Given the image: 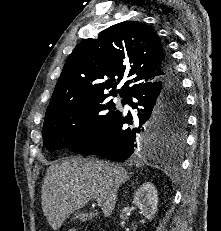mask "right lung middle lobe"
Returning <instances> with one entry per match:
<instances>
[{
    "instance_id": "dd1d6c3e",
    "label": "right lung middle lobe",
    "mask_w": 221,
    "mask_h": 231,
    "mask_svg": "<svg viewBox=\"0 0 221 231\" xmlns=\"http://www.w3.org/2000/svg\"><path fill=\"white\" fill-rule=\"evenodd\" d=\"M106 98L107 95L74 99L45 118L42 131L45 147L51 151L71 150L102 131L119 112L112 100L106 103ZM186 119L184 103L163 98L155 110L150 128L164 141L171 139L181 145Z\"/></svg>"
}]
</instances>
